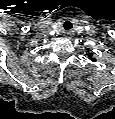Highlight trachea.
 <instances>
[{
	"instance_id": "trachea-1",
	"label": "trachea",
	"mask_w": 115,
	"mask_h": 119,
	"mask_svg": "<svg viewBox=\"0 0 115 119\" xmlns=\"http://www.w3.org/2000/svg\"><path fill=\"white\" fill-rule=\"evenodd\" d=\"M63 29L65 31H71L73 29V24L71 22H65L63 24Z\"/></svg>"
}]
</instances>
